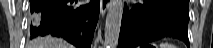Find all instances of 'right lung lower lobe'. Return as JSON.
Wrapping results in <instances>:
<instances>
[{"label": "right lung lower lobe", "mask_w": 213, "mask_h": 48, "mask_svg": "<svg viewBox=\"0 0 213 48\" xmlns=\"http://www.w3.org/2000/svg\"><path fill=\"white\" fill-rule=\"evenodd\" d=\"M79 5L77 0H30V38L63 37L77 48H90L99 17V0Z\"/></svg>", "instance_id": "right-lung-lower-lobe-1"}]
</instances>
